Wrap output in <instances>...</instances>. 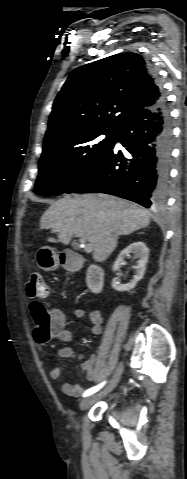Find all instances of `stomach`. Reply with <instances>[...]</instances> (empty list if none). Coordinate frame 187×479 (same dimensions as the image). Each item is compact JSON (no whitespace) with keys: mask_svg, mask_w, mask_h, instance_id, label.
<instances>
[{"mask_svg":"<svg viewBox=\"0 0 187 479\" xmlns=\"http://www.w3.org/2000/svg\"><path fill=\"white\" fill-rule=\"evenodd\" d=\"M37 263L41 269L52 271L59 267L60 258L53 248L43 246L37 252Z\"/></svg>","mask_w":187,"mask_h":479,"instance_id":"1","label":"stomach"}]
</instances>
